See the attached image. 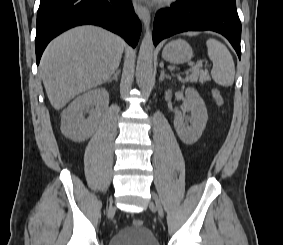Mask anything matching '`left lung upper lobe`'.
Listing matches in <instances>:
<instances>
[{
  "label": "left lung upper lobe",
  "instance_id": "1",
  "mask_svg": "<svg viewBox=\"0 0 283 245\" xmlns=\"http://www.w3.org/2000/svg\"><path fill=\"white\" fill-rule=\"evenodd\" d=\"M223 1H227V2H231V3H235L236 4L235 0H223Z\"/></svg>",
  "mask_w": 283,
  "mask_h": 245
}]
</instances>
